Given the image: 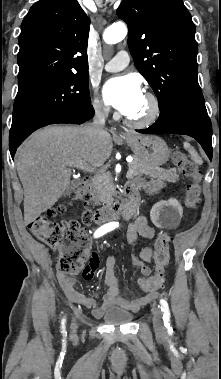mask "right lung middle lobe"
Segmentation results:
<instances>
[{
    "instance_id": "obj_1",
    "label": "right lung middle lobe",
    "mask_w": 221,
    "mask_h": 379,
    "mask_svg": "<svg viewBox=\"0 0 221 379\" xmlns=\"http://www.w3.org/2000/svg\"><path fill=\"white\" fill-rule=\"evenodd\" d=\"M87 73H67L19 84L9 143L25 139L45 123L91 105Z\"/></svg>"
}]
</instances>
